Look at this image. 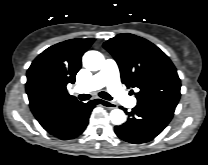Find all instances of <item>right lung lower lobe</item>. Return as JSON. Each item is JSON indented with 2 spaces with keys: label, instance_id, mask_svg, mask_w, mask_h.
Masks as SVG:
<instances>
[{
  "label": "right lung lower lobe",
  "instance_id": "98d812e1",
  "mask_svg": "<svg viewBox=\"0 0 208 165\" xmlns=\"http://www.w3.org/2000/svg\"><path fill=\"white\" fill-rule=\"evenodd\" d=\"M94 107L93 101L79 103L42 127L59 139H74L85 130Z\"/></svg>",
  "mask_w": 208,
  "mask_h": 165
}]
</instances>
